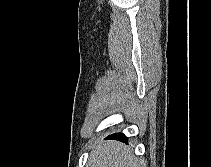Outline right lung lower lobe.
I'll return each mask as SVG.
<instances>
[{
	"label": "right lung lower lobe",
	"mask_w": 211,
	"mask_h": 167,
	"mask_svg": "<svg viewBox=\"0 0 211 167\" xmlns=\"http://www.w3.org/2000/svg\"><path fill=\"white\" fill-rule=\"evenodd\" d=\"M107 139H116L122 142H127L128 140V138L123 133L112 134L109 137H107Z\"/></svg>",
	"instance_id": "right-lung-lower-lobe-1"
}]
</instances>
